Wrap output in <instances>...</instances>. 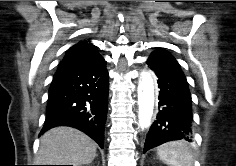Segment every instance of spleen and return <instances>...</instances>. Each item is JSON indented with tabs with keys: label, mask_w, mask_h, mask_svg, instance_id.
Instances as JSON below:
<instances>
[{
	"label": "spleen",
	"mask_w": 236,
	"mask_h": 166,
	"mask_svg": "<svg viewBox=\"0 0 236 166\" xmlns=\"http://www.w3.org/2000/svg\"><path fill=\"white\" fill-rule=\"evenodd\" d=\"M157 154L169 166H193L194 158L189 147L181 141H174L160 146Z\"/></svg>",
	"instance_id": "obj_1"
}]
</instances>
